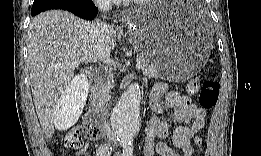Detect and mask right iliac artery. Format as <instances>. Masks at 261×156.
Masks as SVG:
<instances>
[{"mask_svg":"<svg viewBox=\"0 0 261 156\" xmlns=\"http://www.w3.org/2000/svg\"><path fill=\"white\" fill-rule=\"evenodd\" d=\"M112 147L107 144L100 145L99 148L97 149V155L99 156H108L111 154Z\"/></svg>","mask_w":261,"mask_h":156,"instance_id":"1","label":"right iliac artery"}]
</instances>
